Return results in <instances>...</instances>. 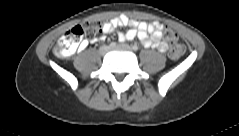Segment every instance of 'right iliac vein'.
Masks as SVG:
<instances>
[{"mask_svg": "<svg viewBox=\"0 0 239 136\" xmlns=\"http://www.w3.org/2000/svg\"><path fill=\"white\" fill-rule=\"evenodd\" d=\"M110 50V47L107 45L101 46L99 49L100 55H105Z\"/></svg>", "mask_w": 239, "mask_h": 136, "instance_id": "1", "label": "right iliac vein"}]
</instances>
